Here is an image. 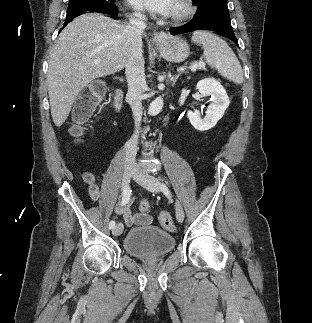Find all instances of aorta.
Instances as JSON below:
<instances>
[{
  "mask_svg": "<svg viewBox=\"0 0 312 323\" xmlns=\"http://www.w3.org/2000/svg\"><path fill=\"white\" fill-rule=\"evenodd\" d=\"M163 106V98L159 96V98H156V100H153V102H151L148 112L149 114H152V116H156V114H159V112H161Z\"/></svg>",
  "mask_w": 312,
  "mask_h": 323,
  "instance_id": "762f6f07",
  "label": "aorta"
}]
</instances>
